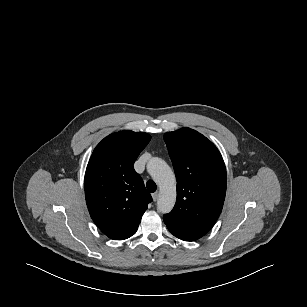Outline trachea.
I'll return each mask as SVG.
<instances>
[{
    "mask_svg": "<svg viewBox=\"0 0 307 307\" xmlns=\"http://www.w3.org/2000/svg\"><path fill=\"white\" fill-rule=\"evenodd\" d=\"M146 187H147L148 191L151 192V193H154L156 191V188H157L155 182L151 181V180L147 182Z\"/></svg>",
    "mask_w": 307,
    "mask_h": 307,
    "instance_id": "3493384b",
    "label": "trachea"
}]
</instances>
